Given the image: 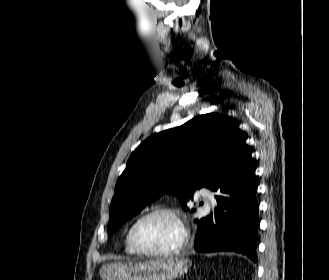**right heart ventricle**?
Here are the masks:
<instances>
[{"label": "right heart ventricle", "instance_id": "right-heart-ventricle-1", "mask_svg": "<svg viewBox=\"0 0 329 280\" xmlns=\"http://www.w3.org/2000/svg\"><path fill=\"white\" fill-rule=\"evenodd\" d=\"M130 229L131 226L128 228V231L125 236V251L129 255H137L138 253L135 251L130 241Z\"/></svg>", "mask_w": 329, "mask_h": 280}]
</instances>
